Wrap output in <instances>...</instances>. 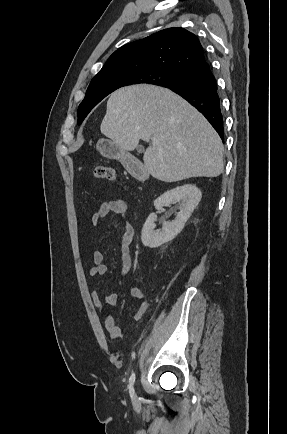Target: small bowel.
<instances>
[{
    "label": "small bowel",
    "instance_id": "c3829d8e",
    "mask_svg": "<svg viewBox=\"0 0 287 434\" xmlns=\"http://www.w3.org/2000/svg\"><path fill=\"white\" fill-rule=\"evenodd\" d=\"M129 212L128 204L119 198H112L104 202L99 209L91 216V223L94 227H100L103 220L110 213H116L124 220V231L121 239V253H122V265L120 269V276L128 273L131 268V246L134 240V228L127 221V215ZM93 266L90 269V275L92 277L104 276L108 273V267L103 262V253L99 250L95 251L92 256ZM133 298L139 301V306L135 312L134 319L140 321L148 309V303L146 297L141 288L133 286L130 290ZM91 301L96 308L103 315V327L109 332L110 336L114 339L120 338L124 334V330L121 326L115 323V320L111 314L105 310V305H114L117 301V295L115 293L102 297L99 292L92 291L90 295Z\"/></svg>",
    "mask_w": 287,
    "mask_h": 434
}]
</instances>
